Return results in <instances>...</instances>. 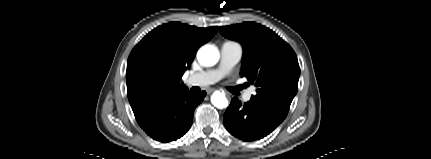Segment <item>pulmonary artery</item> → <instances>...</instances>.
<instances>
[{
  "instance_id": "e3ab8cb5",
  "label": "pulmonary artery",
  "mask_w": 431,
  "mask_h": 159,
  "mask_svg": "<svg viewBox=\"0 0 431 159\" xmlns=\"http://www.w3.org/2000/svg\"><path fill=\"white\" fill-rule=\"evenodd\" d=\"M243 55L242 46L234 41H225L220 48V63L215 69H208L190 75L187 79L188 85L207 86L218 82L227 75L241 60ZM254 94L253 89L243 94V100L249 101Z\"/></svg>"
}]
</instances>
